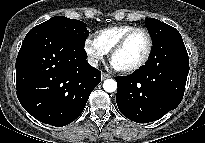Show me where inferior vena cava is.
Listing matches in <instances>:
<instances>
[{"instance_id":"obj_1","label":"inferior vena cava","mask_w":205,"mask_h":143,"mask_svg":"<svg viewBox=\"0 0 205 143\" xmlns=\"http://www.w3.org/2000/svg\"><path fill=\"white\" fill-rule=\"evenodd\" d=\"M87 61L92 67H97L98 66V59L95 58V57H89L87 59Z\"/></svg>"}]
</instances>
